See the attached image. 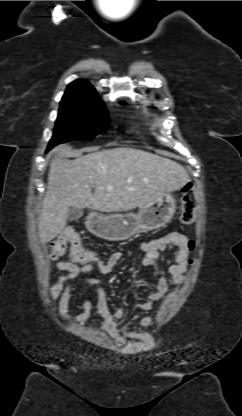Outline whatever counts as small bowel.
Wrapping results in <instances>:
<instances>
[{"instance_id": "c3829d8e", "label": "small bowel", "mask_w": 242, "mask_h": 416, "mask_svg": "<svg viewBox=\"0 0 242 416\" xmlns=\"http://www.w3.org/2000/svg\"><path fill=\"white\" fill-rule=\"evenodd\" d=\"M168 245H173L177 249L168 263L166 272H160L155 288L149 291L146 300L139 302L138 306L143 311L151 310L154 304L166 295L170 280L178 284L184 281L183 275L188 264L189 247L188 238L179 231H172L160 238L140 243L139 251L142 253L140 264L145 267L155 266L160 253ZM122 257L123 253L116 251L106 260H98L95 264L78 265L72 261H60L57 263V269L62 274L59 275L57 283L51 291V298L58 300V311L66 321L81 324L88 319L91 310L95 307L103 320L102 330L119 345L126 344L130 339L135 338L139 332H121L118 329L117 320L125 315V311L122 308H117L114 312L109 309L104 287L98 278H85L84 286L94 285L96 289L95 295L90 293L84 298L80 312L70 313L69 302L75 284L83 274L96 272L100 275H108ZM150 322V317H143L139 323L141 327H147Z\"/></svg>"}]
</instances>
